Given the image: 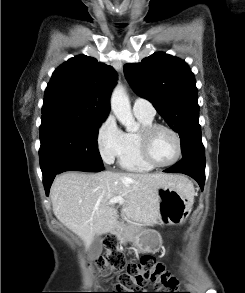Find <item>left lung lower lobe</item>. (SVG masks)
<instances>
[{
    "label": "left lung lower lobe",
    "instance_id": "1",
    "mask_svg": "<svg viewBox=\"0 0 245 293\" xmlns=\"http://www.w3.org/2000/svg\"><path fill=\"white\" fill-rule=\"evenodd\" d=\"M164 172L183 173L189 175L197 181L203 191L205 183V162L191 158H183L177 164L166 169Z\"/></svg>",
    "mask_w": 245,
    "mask_h": 293
}]
</instances>
